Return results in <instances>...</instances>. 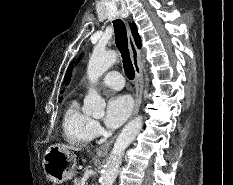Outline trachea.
<instances>
[{
	"label": "trachea",
	"mask_w": 233,
	"mask_h": 185,
	"mask_svg": "<svg viewBox=\"0 0 233 185\" xmlns=\"http://www.w3.org/2000/svg\"><path fill=\"white\" fill-rule=\"evenodd\" d=\"M113 25L115 29L116 46L122 55L125 74L128 79L133 80L135 77V71L129 56L125 24L122 20L117 19L113 21Z\"/></svg>",
	"instance_id": "trachea-1"
}]
</instances>
